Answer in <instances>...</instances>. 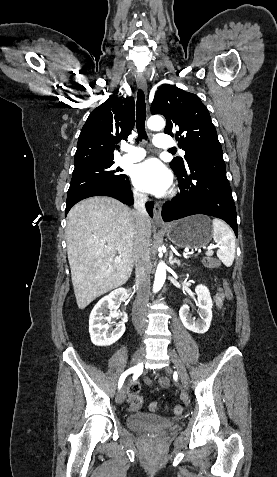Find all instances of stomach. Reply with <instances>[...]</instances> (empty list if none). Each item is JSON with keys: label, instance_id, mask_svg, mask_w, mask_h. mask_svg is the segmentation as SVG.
Segmentation results:
<instances>
[{"label": "stomach", "instance_id": "obj_1", "mask_svg": "<svg viewBox=\"0 0 277 477\" xmlns=\"http://www.w3.org/2000/svg\"><path fill=\"white\" fill-rule=\"evenodd\" d=\"M164 230L173 244L191 250L206 246L213 237V226L205 215H193L171 222Z\"/></svg>", "mask_w": 277, "mask_h": 477}]
</instances>
